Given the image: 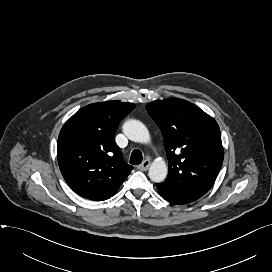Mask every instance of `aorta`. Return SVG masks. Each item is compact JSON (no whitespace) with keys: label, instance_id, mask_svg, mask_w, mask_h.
<instances>
[{"label":"aorta","instance_id":"obj_1","mask_svg":"<svg viewBox=\"0 0 272 272\" xmlns=\"http://www.w3.org/2000/svg\"><path fill=\"white\" fill-rule=\"evenodd\" d=\"M124 134L132 141L147 143L150 141V134L146 126L139 120L131 119L123 125ZM168 168L164 160H155L149 168V178L156 183L165 180Z\"/></svg>","mask_w":272,"mask_h":272}]
</instances>
